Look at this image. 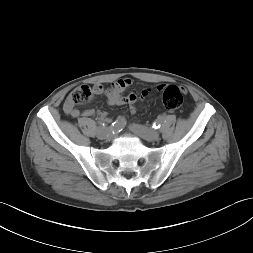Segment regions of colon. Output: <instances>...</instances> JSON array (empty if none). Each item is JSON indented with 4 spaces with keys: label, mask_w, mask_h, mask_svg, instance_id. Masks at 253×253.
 I'll use <instances>...</instances> for the list:
<instances>
[{
    "label": "colon",
    "mask_w": 253,
    "mask_h": 253,
    "mask_svg": "<svg viewBox=\"0 0 253 253\" xmlns=\"http://www.w3.org/2000/svg\"><path fill=\"white\" fill-rule=\"evenodd\" d=\"M160 101L162 105L169 111H175L182 106L183 94L182 90L174 85L161 87ZM93 97L92 90L88 86H81L75 89L67 98V103L71 107L84 105L91 101Z\"/></svg>",
    "instance_id": "5ec220e1"
}]
</instances>
